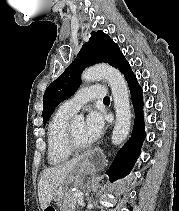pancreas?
Instances as JSON below:
<instances>
[{
    "label": "pancreas",
    "mask_w": 179,
    "mask_h": 211,
    "mask_svg": "<svg viewBox=\"0 0 179 211\" xmlns=\"http://www.w3.org/2000/svg\"><path fill=\"white\" fill-rule=\"evenodd\" d=\"M76 192L70 190L64 192L57 197V205L61 211H74V206L77 204L79 197L74 196Z\"/></svg>",
    "instance_id": "1"
}]
</instances>
